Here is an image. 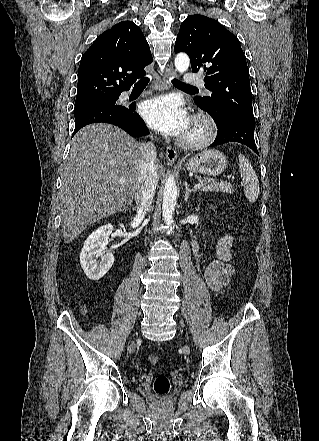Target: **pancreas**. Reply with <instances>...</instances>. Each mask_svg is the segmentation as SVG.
I'll list each match as a JSON object with an SVG mask.
<instances>
[{"mask_svg":"<svg viewBox=\"0 0 319 441\" xmlns=\"http://www.w3.org/2000/svg\"><path fill=\"white\" fill-rule=\"evenodd\" d=\"M198 180L200 183L203 184L202 190L205 192L213 191V192H224V193H233L234 189L233 186L225 181L218 182L214 179H208V178H200L198 177Z\"/></svg>","mask_w":319,"mask_h":441,"instance_id":"obj_1","label":"pancreas"}]
</instances>
